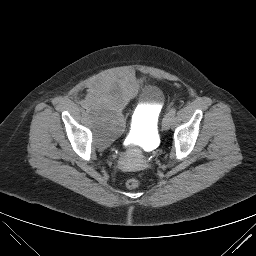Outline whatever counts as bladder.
Instances as JSON below:
<instances>
[{"label": "bladder", "instance_id": "bladder-1", "mask_svg": "<svg viewBox=\"0 0 256 256\" xmlns=\"http://www.w3.org/2000/svg\"><path fill=\"white\" fill-rule=\"evenodd\" d=\"M140 94L143 106L136 114L132 134L146 142L158 136L157 124L165 97L155 85L139 88L135 79L110 75L99 79L86 97V112L99 146H108L125 130L123 111Z\"/></svg>", "mask_w": 256, "mask_h": 256}]
</instances>
